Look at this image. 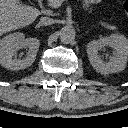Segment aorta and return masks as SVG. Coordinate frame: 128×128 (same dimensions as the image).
I'll use <instances>...</instances> for the list:
<instances>
[{"label":"aorta","mask_w":128,"mask_h":128,"mask_svg":"<svg viewBox=\"0 0 128 128\" xmlns=\"http://www.w3.org/2000/svg\"><path fill=\"white\" fill-rule=\"evenodd\" d=\"M75 29L72 26H64L61 28L59 35L63 43H70L75 38Z\"/></svg>","instance_id":"762f6f07"}]
</instances>
